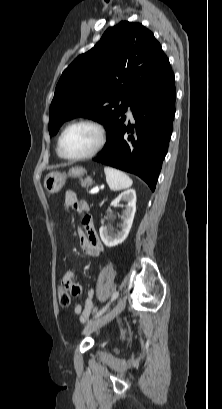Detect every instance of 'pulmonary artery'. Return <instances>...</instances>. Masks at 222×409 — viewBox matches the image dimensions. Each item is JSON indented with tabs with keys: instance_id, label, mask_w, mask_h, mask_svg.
I'll return each mask as SVG.
<instances>
[{
	"instance_id": "obj_1",
	"label": "pulmonary artery",
	"mask_w": 222,
	"mask_h": 409,
	"mask_svg": "<svg viewBox=\"0 0 222 409\" xmlns=\"http://www.w3.org/2000/svg\"><path fill=\"white\" fill-rule=\"evenodd\" d=\"M128 117H129V118H132V113H131V111H130V107H128Z\"/></svg>"
}]
</instances>
